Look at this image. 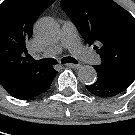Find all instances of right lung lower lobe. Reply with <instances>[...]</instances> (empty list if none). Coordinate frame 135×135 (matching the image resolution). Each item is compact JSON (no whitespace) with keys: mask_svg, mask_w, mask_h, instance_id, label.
I'll list each match as a JSON object with an SVG mask.
<instances>
[{"mask_svg":"<svg viewBox=\"0 0 135 135\" xmlns=\"http://www.w3.org/2000/svg\"><path fill=\"white\" fill-rule=\"evenodd\" d=\"M57 71L53 67L40 77H28L24 79V83L11 91H7L11 96L21 100H30L45 93L52 83Z\"/></svg>","mask_w":135,"mask_h":135,"instance_id":"1","label":"right lung lower lobe"}]
</instances>
